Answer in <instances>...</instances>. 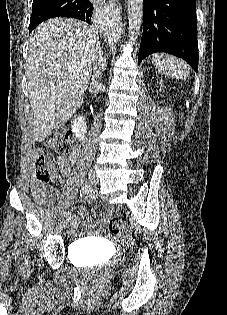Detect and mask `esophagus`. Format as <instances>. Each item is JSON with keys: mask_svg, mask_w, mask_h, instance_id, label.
<instances>
[{"mask_svg": "<svg viewBox=\"0 0 227 315\" xmlns=\"http://www.w3.org/2000/svg\"><path fill=\"white\" fill-rule=\"evenodd\" d=\"M110 9L112 11L115 10V13L118 15V6H115V3L114 4L113 3L110 4Z\"/></svg>", "mask_w": 227, "mask_h": 315, "instance_id": "obj_1", "label": "esophagus"}]
</instances>
